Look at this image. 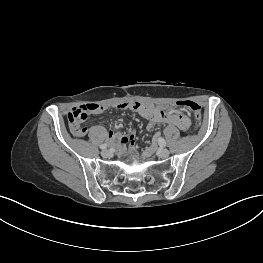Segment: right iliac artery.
Listing matches in <instances>:
<instances>
[{
    "instance_id": "right-iliac-artery-1",
    "label": "right iliac artery",
    "mask_w": 263,
    "mask_h": 263,
    "mask_svg": "<svg viewBox=\"0 0 263 263\" xmlns=\"http://www.w3.org/2000/svg\"><path fill=\"white\" fill-rule=\"evenodd\" d=\"M107 146H108V145H107L106 143H105V144H101V145H100V149H102V150H103V149H106Z\"/></svg>"
}]
</instances>
